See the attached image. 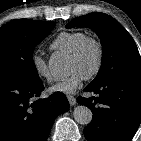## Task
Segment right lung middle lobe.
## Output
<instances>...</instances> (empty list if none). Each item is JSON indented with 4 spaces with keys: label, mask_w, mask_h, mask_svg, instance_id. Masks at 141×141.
<instances>
[{
    "label": "right lung middle lobe",
    "mask_w": 141,
    "mask_h": 141,
    "mask_svg": "<svg viewBox=\"0 0 141 141\" xmlns=\"http://www.w3.org/2000/svg\"><path fill=\"white\" fill-rule=\"evenodd\" d=\"M54 22L13 20L0 28V80L39 79L32 60L34 47L53 29Z\"/></svg>",
    "instance_id": "1"
}]
</instances>
